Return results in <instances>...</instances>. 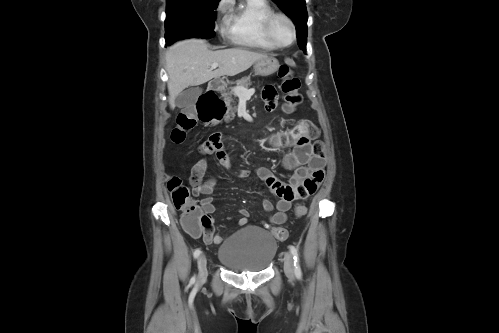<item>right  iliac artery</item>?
Instances as JSON below:
<instances>
[{"mask_svg":"<svg viewBox=\"0 0 499 333\" xmlns=\"http://www.w3.org/2000/svg\"><path fill=\"white\" fill-rule=\"evenodd\" d=\"M200 253H201V250H200V249H196V250L194 251V254H193V255H194V258H195V259H196V258H198V257H199V255H200ZM191 280H192V281H194V280H195V277H193Z\"/></svg>","mask_w":499,"mask_h":333,"instance_id":"1","label":"right iliac artery"}]
</instances>
